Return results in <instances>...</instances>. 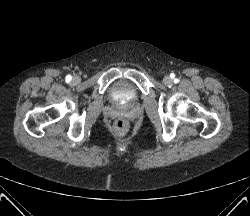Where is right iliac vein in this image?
I'll list each match as a JSON object with an SVG mask.
<instances>
[{
	"mask_svg": "<svg viewBox=\"0 0 250 216\" xmlns=\"http://www.w3.org/2000/svg\"><path fill=\"white\" fill-rule=\"evenodd\" d=\"M72 82H73L74 84L80 83V77H79V76L73 77Z\"/></svg>",
	"mask_w": 250,
	"mask_h": 216,
	"instance_id": "1",
	"label": "right iliac vein"
}]
</instances>
